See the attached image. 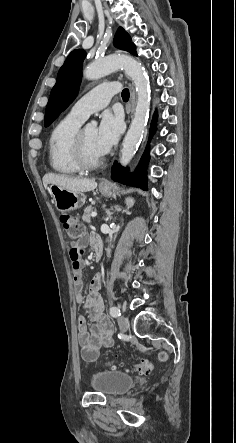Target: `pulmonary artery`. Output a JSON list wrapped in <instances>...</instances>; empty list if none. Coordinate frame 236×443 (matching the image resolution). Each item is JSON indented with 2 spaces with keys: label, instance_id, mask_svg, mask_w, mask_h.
Listing matches in <instances>:
<instances>
[{
  "label": "pulmonary artery",
  "instance_id": "pulmonary-artery-1",
  "mask_svg": "<svg viewBox=\"0 0 236 443\" xmlns=\"http://www.w3.org/2000/svg\"><path fill=\"white\" fill-rule=\"evenodd\" d=\"M120 89L119 82L103 83L80 97L71 107L69 114L85 120L91 113L104 108Z\"/></svg>",
  "mask_w": 236,
  "mask_h": 443
}]
</instances>
